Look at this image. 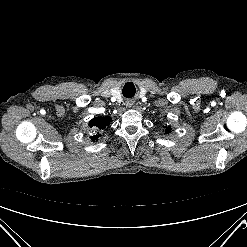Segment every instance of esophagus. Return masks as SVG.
Returning <instances> with one entry per match:
<instances>
[{
  "label": "esophagus",
  "mask_w": 247,
  "mask_h": 247,
  "mask_svg": "<svg viewBox=\"0 0 247 247\" xmlns=\"http://www.w3.org/2000/svg\"><path fill=\"white\" fill-rule=\"evenodd\" d=\"M126 107L130 108L133 105V102L131 100L126 101Z\"/></svg>",
  "instance_id": "34e87169"
}]
</instances>
